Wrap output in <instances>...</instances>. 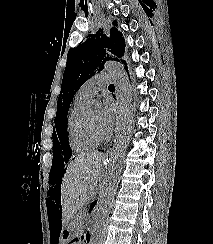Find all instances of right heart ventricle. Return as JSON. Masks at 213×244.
<instances>
[{
	"label": "right heart ventricle",
	"instance_id": "e07e8e85",
	"mask_svg": "<svg viewBox=\"0 0 213 244\" xmlns=\"http://www.w3.org/2000/svg\"><path fill=\"white\" fill-rule=\"evenodd\" d=\"M88 101L77 94L67 117L68 141L72 150L77 153L93 151L99 144L87 125L85 106Z\"/></svg>",
	"mask_w": 213,
	"mask_h": 244
}]
</instances>
